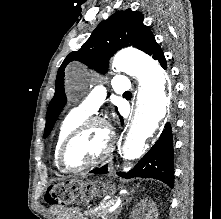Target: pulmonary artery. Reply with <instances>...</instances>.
<instances>
[{
    "mask_svg": "<svg viewBox=\"0 0 221 219\" xmlns=\"http://www.w3.org/2000/svg\"><path fill=\"white\" fill-rule=\"evenodd\" d=\"M112 85L113 91L116 94L126 95L128 92H130V81L125 75L114 76ZM105 97V89L102 86H98L75 110L89 116L100 108V106L104 103Z\"/></svg>",
    "mask_w": 221,
    "mask_h": 219,
    "instance_id": "pulmonary-artery-1",
    "label": "pulmonary artery"
}]
</instances>
